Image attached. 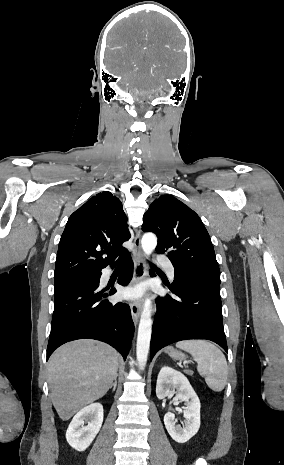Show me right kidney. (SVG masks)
<instances>
[{
  "label": "right kidney",
  "instance_id": "right-kidney-1",
  "mask_svg": "<svg viewBox=\"0 0 284 465\" xmlns=\"http://www.w3.org/2000/svg\"><path fill=\"white\" fill-rule=\"evenodd\" d=\"M84 423H88L87 427H83ZM102 423L103 407L100 403L84 407L73 417L67 429V443L76 451H85L99 433Z\"/></svg>",
  "mask_w": 284,
  "mask_h": 465
}]
</instances>
